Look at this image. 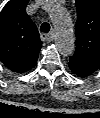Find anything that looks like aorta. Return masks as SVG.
<instances>
[{
	"instance_id": "762f6f07",
	"label": "aorta",
	"mask_w": 100,
	"mask_h": 118,
	"mask_svg": "<svg viewBox=\"0 0 100 118\" xmlns=\"http://www.w3.org/2000/svg\"><path fill=\"white\" fill-rule=\"evenodd\" d=\"M47 11L56 29L57 50L63 56H70L74 52L75 39L73 23L68 12L54 1L49 2Z\"/></svg>"
}]
</instances>
